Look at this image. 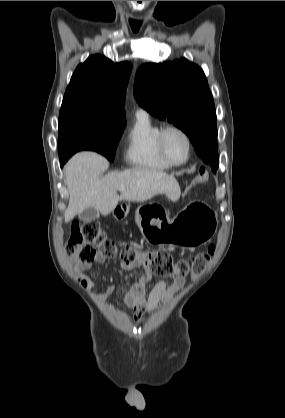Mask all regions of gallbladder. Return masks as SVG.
<instances>
[{
  "instance_id": "gallbladder-1",
  "label": "gallbladder",
  "mask_w": 285,
  "mask_h": 418,
  "mask_svg": "<svg viewBox=\"0 0 285 418\" xmlns=\"http://www.w3.org/2000/svg\"><path fill=\"white\" fill-rule=\"evenodd\" d=\"M98 216H99V211L93 207H89L85 209L82 213H80L79 218L83 222H89L98 218Z\"/></svg>"
}]
</instances>
